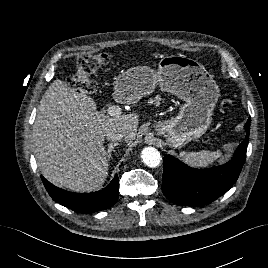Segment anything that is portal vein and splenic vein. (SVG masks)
<instances>
[{"label":"portal vein and splenic vein","mask_w":268,"mask_h":268,"mask_svg":"<svg viewBox=\"0 0 268 268\" xmlns=\"http://www.w3.org/2000/svg\"><path fill=\"white\" fill-rule=\"evenodd\" d=\"M107 114H109L110 116L116 117L122 114V108H120L119 106H110L107 110Z\"/></svg>","instance_id":"1"}]
</instances>
